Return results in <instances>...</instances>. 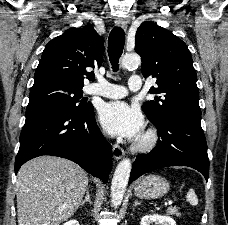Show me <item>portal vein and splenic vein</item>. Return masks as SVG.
<instances>
[{
  "instance_id": "obj_1",
  "label": "portal vein and splenic vein",
  "mask_w": 228,
  "mask_h": 225,
  "mask_svg": "<svg viewBox=\"0 0 228 225\" xmlns=\"http://www.w3.org/2000/svg\"><path fill=\"white\" fill-rule=\"evenodd\" d=\"M163 205H164V207H170V205H172V200H166V202H164Z\"/></svg>"
}]
</instances>
